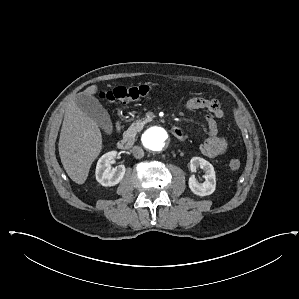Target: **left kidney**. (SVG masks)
I'll list each match as a JSON object with an SVG mask.
<instances>
[{
    "label": "left kidney",
    "mask_w": 299,
    "mask_h": 299,
    "mask_svg": "<svg viewBox=\"0 0 299 299\" xmlns=\"http://www.w3.org/2000/svg\"><path fill=\"white\" fill-rule=\"evenodd\" d=\"M197 168H201L205 172L203 176L205 181L198 182L192 175L188 182L190 190L201 197L211 195L216 188V174L213 165L203 158L193 157L190 160V169L192 172H196Z\"/></svg>",
    "instance_id": "5707ae66"
}]
</instances>
